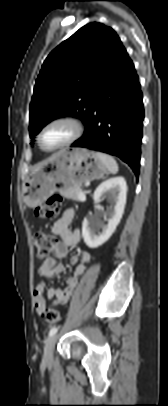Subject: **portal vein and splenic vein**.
I'll return each instance as SVG.
<instances>
[{
  "label": "portal vein and splenic vein",
  "instance_id": "1",
  "mask_svg": "<svg viewBox=\"0 0 168 406\" xmlns=\"http://www.w3.org/2000/svg\"><path fill=\"white\" fill-rule=\"evenodd\" d=\"M79 197H80L82 200H85V199H86L85 194H84L83 192H81V193L79 194Z\"/></svg>",
  "mask_w": 168,
  "mask_h": 406
}]
</instances>
